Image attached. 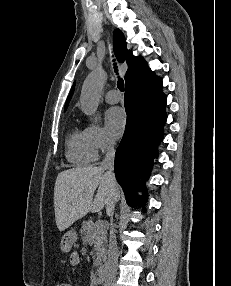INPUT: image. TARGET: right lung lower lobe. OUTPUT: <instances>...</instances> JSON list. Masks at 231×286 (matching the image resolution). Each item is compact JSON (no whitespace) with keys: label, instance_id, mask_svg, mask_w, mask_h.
I'll return each instance as SVG.
<instances>
[{"label":"right lung lower lobe","instance_id":"right-lung-lower-lobe-1","mask_svg":"<svg viewBox=\"0 0 231 286\" xmlns=\"http://www.w3.org/2000/svg\"><path fill=\"white\" fill-rule=\"evenodd\" d=\"M162 81L150 71L125 83L127 123L115 154L114 171L129 205L135 203L140 190L138 178L146 179L166 122V98ZM139 200H145L146 192Z\"/></svg>","mask_w":231,"mask_h":286}]
</instances>
